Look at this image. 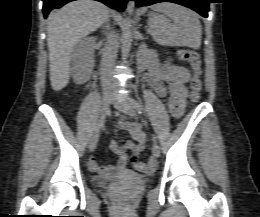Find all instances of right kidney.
<instances>
[{"label":"right kidney","mask_w":260,"mask_h":217,"mask_svg":"<svg viewBox=\"0 0 260 217\" xmlns=\"http://www.w3.org/2000/svg\"><path fill=\"white\" fill-rule=\"evenodd\" d=\"M95 37L80 41L72 57V77L76 84L86 83L92 73Z\"/></svg>","instance_id":"1"}]
</instances>
